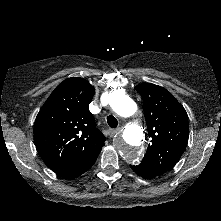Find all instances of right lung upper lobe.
I'll list each match as a JSON object with an SVG mask.
<instances>
[{
  "mask_svg": "<svg viewBox=\"0 0 221 221\" xmlns=\"http://www.w3.org/2000/svg\"><path fill=\"white\" fill-rule=\"evenodd\" d=\"M94 92L85 79L68 78L51 93L36 117V148L55 173L85 163L104 146L105 137L89 111Z\"/></svg>",
  "mask_w": 221,
  "mask_h": 221,
  "instance_id": "cb5924a9",
  "label": "right lung upper lobe"
}]
</instances>
